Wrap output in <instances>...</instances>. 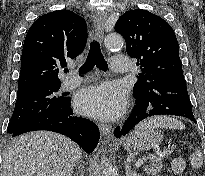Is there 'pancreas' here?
<instances>
[{
	"label": "pancreas",
	"instance_id": "pancreas-1",
	"mask_svg": "<svg viewBox=\"0 0 205 176\" xmlns=\"http://www.w3.org/2000/svg\"><path fill=\"white\" fill-rule=\"evenodd\" d=\"M162 156H155L152 155L147 165L144 166V171L146 172L147 176H155L156 174L160 173L163 164H162Z\"/></svg>",
	"mask_w": 205,
	"mask_h": 176
}]
</instances>
